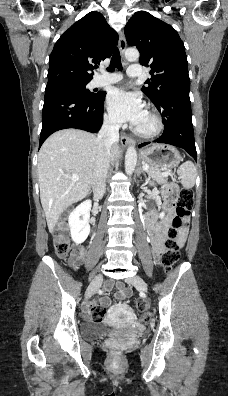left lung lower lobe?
I'll use <instances>...</instances> for the list:
<instances>
[{
	"mask_svg": "<svg viewBox=\"0 0 228 396\" xmlns=\"http://www.w3.org/2000/svg\"><path fill=\"white\" fill-rule=\"evenodd\" d=\"M178 99L181 100L182 106L176 108L175 101ZM156 107L163 116L165 129L163 134L154 142L181 147L196 160L197 152L194 142L189 92L170 93ZM149 143L140 144L139 147Z\"/></svg>",
	"mask_w": 228,
	"mask_h": 396,
	"instance_id": "obj_1",
	"label": "left lung lower lobe"
}]
</instances>
